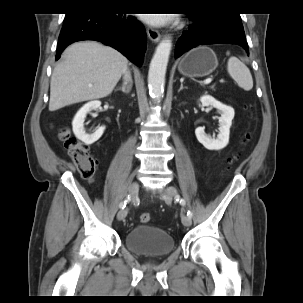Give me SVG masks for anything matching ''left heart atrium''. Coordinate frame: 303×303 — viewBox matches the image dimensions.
<instances>
[{"label":"left heart atrium","instance_id":"obj_1","mask_svg":"<svg viewBox=\"0 0 303 303\" xmlns=\"http://www.w3.org/2000/svg\"><path fill=\"white\" fill-rule=\"evenodd\" d=\"M143 18L152 23V24H155V25H158V24H162L166 21H168V16L166 15H161V14H152V15H144Z\"/></svg>","mask_w":303,"mask_h":303}]
</instances>
